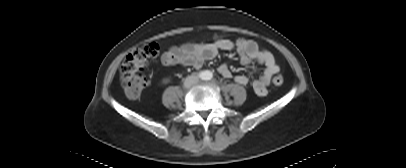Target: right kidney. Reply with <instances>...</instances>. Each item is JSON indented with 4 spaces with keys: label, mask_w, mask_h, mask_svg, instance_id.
<instances>
[{
    "label": "right kidney",
    "mask_w": 406,
    "mask_h": 168,
    "mask_svg": "<svg viewBox=\"0 0 406 168\" xmlns=\"http://www.w3.org/2000/svg\"><path fill=\"white\" fill-rule=\"evenodd\" d=\"M164 82L166 83V82H168V80L166 79V80H164Z\"/></svg>",
    "instance_id": "ca27d5eb"
}]
</instances>
